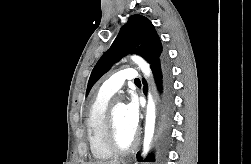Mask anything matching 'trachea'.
<instances>
[{"label": "trachea", "mask_w": 251, "mask_h": 164, "mask_svg": "<svg viewBox=\"0 0 251 164\" xmlns=\"http://www.w3.org/2000/svg\"><path fill=\"white\" fill-rule=\"evenodd\" d=\"M135 83H140V80L139 79H135Z\"/></svg>", "instance_id": "trachea-1"}]
</instances>
